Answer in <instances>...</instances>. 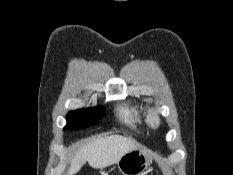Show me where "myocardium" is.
<instances>
[{
  "label": "myocardium",
  "instance_id": "f54148a6",
  "mask_svg": "<svg viewBox=\"0 0 233 175\" xmlns=\"http://www.w3.org/2000/svg\"><path fill=\"white\" fill-rule=\"evenodd\" d=\"M146 121L149 126L156 128L160 125L161 119L157 111L151 109L146 115Z\"/></svg>",
  "mask_w": 233,
  "mask_h": 175
}]
</instances>
